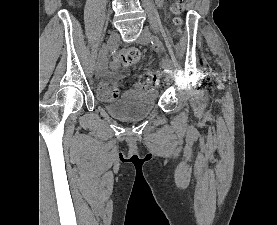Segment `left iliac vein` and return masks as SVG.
<instances>
[{
  "mask_svg": "<svg viewBox=\"0 0 277 225\" xmlns=\"http://www.w3.org/2000/svg\"><path fill=\"white\" fill-rule=\"evenodd\" d=\"M151 34L150 31L147 28H144L141 32V35L137 39V43L146 45L150 42ZM165 78L167 81L173 80L174 76L172 74H165Z\"/></svg>",
  "mask_w": 277,
  "mask_h": 225,
  "instance_id": "1",
  "label": "left iliac vein"
}]
</instances>
